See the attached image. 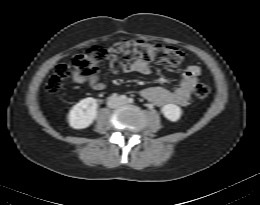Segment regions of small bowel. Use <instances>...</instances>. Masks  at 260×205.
Segmentation results:
<instances>
[{
  "mask_svg": "<svg viewBox=\"0 0 260 205\" xmlns=\"http://www.w3.org/2000/svg\"><path fill=\"white\" fill-rule=\"evenodd\" d=\"M105 61L108 70L112 74L136 72L148 75L151 73L149 63L141 59H136L131 63L120 62L116 55L111 52L106 56ZM200 74L201 68L198 65H188L175 88L168 89L162 86L148 87L141 90V95L160 107L168 104L186 106ZM76 82L86 83L96 91H102L105 88V84L100 81L99 74L87 79H76Z\"/></svg>",
  "mask_w": 260,
  "mask_h": 205,
  "instance_id": "c3829d8e",
  "label": "small bowel"
}]
</instances>
